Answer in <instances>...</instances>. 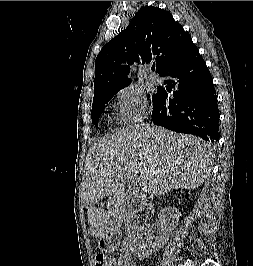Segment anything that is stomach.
<instances>
[{
  "instance_id": "stomach-1",
  "label": "stomach",
  "mask_w": 253,
  "mask_h": 266,
  "mask_svg": "<svg viewBox=\"0 0 253 266\" xmlns=\"http://www.w3.org/2000/svg\"><path fill=\"white\" fill-rule=\"evenodd\" d=\"M99 248L101 251H112L116 246L117 242L111 238L109 234H105L98 241Z\"/></svg>"
}]
</instances>
